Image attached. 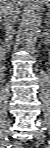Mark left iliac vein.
<instances>
[{
	"label": "left iliac vein",
	"instance_id": "obj_1",
	"mask_svg": "<svg viewBox=\"0 0 50 148\" xmlns=\"http://www.w3.org/2000/svg\"><path fill=\"white\" fill-rule=\"evenodd\" d=\"M43 139H44L43 130L41 128H39L38 134H37V140L38 141H43Z\"/></svg>",
	"mask_w": 50,
	"mask_h": 148
}]
</instances>
